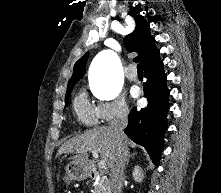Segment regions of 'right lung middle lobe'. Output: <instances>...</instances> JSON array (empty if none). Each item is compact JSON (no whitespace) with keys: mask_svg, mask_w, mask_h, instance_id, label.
<instances>
[{"mask_svg":"<svg viewBox=\"0 0 221 193\" xmlns=\"http://www.w3.org/2000/svg\"><path fill=\"white\" fill-rule=\"evenodd\" d=\"M73 87H74V85H70L67 87V92H66V97H65V105L68 104V99H69V96L71 94Z\"/></svg>","mask_w":221,"mask_h":193,"instance_id":"1","label":"right lung middle lobe"}]
</instances>
